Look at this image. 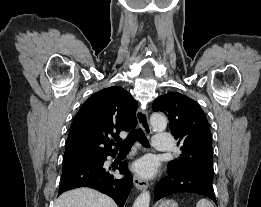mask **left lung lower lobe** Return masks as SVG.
<instances>
[{
  "label": "left lung lower lobe",
  "mask_w": 261,
  "mask_h": 207,
  "mask_svg": "<svg viewBox=\"0 0 261 207\" xmlns=\"http://www.w3.org/2000/svg\"><path fill=\"white\" fill-rule=\"evenodd\" d=\"M212 182L209 178L187 171L168 170V176L162 178L154 189V200L177 193H197L210 198L217 205Z\"/></svg>",
  "instance_id": "1"
}]
</instances>
